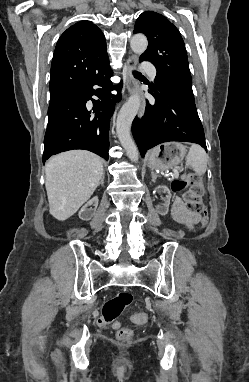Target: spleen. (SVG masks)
I'll return each instance as SVG.
<instances>
[{
    "label": "spleen",
    "mask_w": 249,
    "mask_h": 382,
    "mask_svg": "<svg viewBox=\"0 0 249 382\" xmlns=\"http://www.w3.org/2000/svg\"><path fill=\"white\" fill-rule=\"evenodd\" d=\"M207 154L202 147L192 144L186 157V165L198 174L203 175L207 169Z\"/></svg>",
    "instance_id": "1"
}]
</instances>
